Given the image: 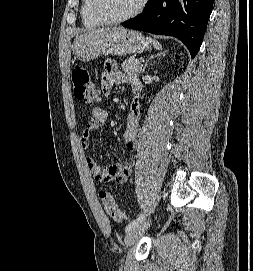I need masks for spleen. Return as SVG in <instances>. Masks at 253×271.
<instances>
[{
  "label": "spleen",
  "instance_id": "obj_1",
  "mask_svg": "<svg viewBox=\"0 0 253 271\" xmlns=\"http://www.w3.org/2000/svg\"><path fill=\"white\" fill-rule=\"evenodd\" d=\"M148 40H149L150 43L153 44V46H154L156 49H161V48H162L161 44H160L158 41L153 40L152 38H148Z\"/></svg>",
  "mask_w": 253,
  "mask_h": 271
}]
</instances>
